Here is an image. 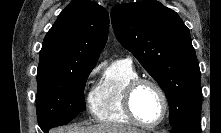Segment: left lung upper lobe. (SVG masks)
Wrapping results in <instances>:
<instances>
[{
	"label": "left lung upper lobe",
	"instance_id": "1",
	"mask_svg": "<svg viewBox=\"0 0 221 133\" xmlns=\"http://www.w3.org/2000/svg\"><path fill=\"white\" fill-rule=\"evenodd\" d=\"M114 32L166 94L170 125L200 119V69L190 33L173 10L154 0L116 5Z\"/></svg>",
	"mask_w": 221,
	"mask_h": 133
}]
</instances>
